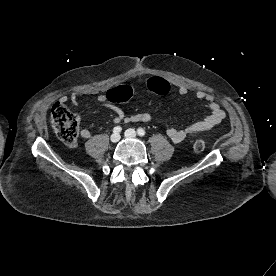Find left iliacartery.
Instances as JSON below:
<instances>
[{
    "instance_id": "left-iliac-artery-1",
    "label": "left iliac artery",
    "mask_w": 276,
    "mask_h": 276,
    "mask_svg": "<svg viewBox=\"0 0 276 276\" xmlns=\"http://www.w3.org/2000/svg\"><path fill=\"white\" fill-rule=\"evenodd\" d=\"M137 133H138L139 136H144L145 135V130L142 129V128H138Z\"/></svg>"
}]
</instances>
